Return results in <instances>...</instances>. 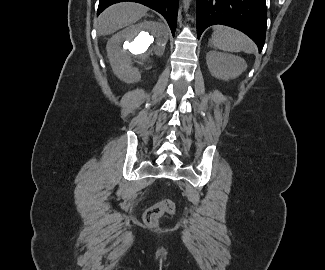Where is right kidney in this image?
I'll use <instances>...</instances> for the list:
<instances>
[{
  "mask_svg": "<svg viewBox=\"0 0 325 270\" xmlns=\"http://www.w3.org/2000/svg\"><path fill=\"white\" fill-rule=\"evenodd\" d=\"M148 31V32H145ZM168 41L163 24L144 21L113 35L107 42V55L114 74L124 82L141 80L163 55Z\"/></svg>",
  "mask_w": 325,
  "mask_h": 270,
  "instance_id": "ca27d5eb",
  "label": "right kidney"
}]
</instances>
